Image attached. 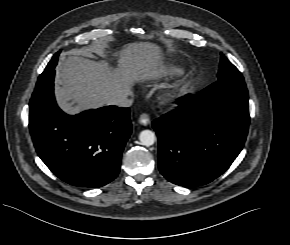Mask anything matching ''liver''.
<instances>
[{
  "mask_svg": "<svg viewBox=\"0 0 290 245\" xmlns=\"http://www.w3.org/2000/svg\"><path fill=\"white\" fill-rule=\"evenodd\" d=\"M118 66L110 69L106 63L78 55L62 58L56 69V98L69 114L88 108L109 105L118 95L130 92L139 82L156 77L159 55L147 42H134L113 52Z\"/></svg>",
  "mask_w": 290,
  "mask_h": 245,
  "instance_id": "1",
  "label": "liver"
}]
</instances>
